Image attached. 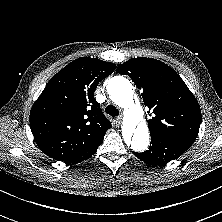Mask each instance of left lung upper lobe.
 Here are the masks:
<instances>
[{
	"mask_svg": "<svg viewBox=\"0 0 222 222\" xmlns=\"http://www.w3.org/2000/svg\"><path fill=\"white\" fill-rule=\"evenodd\" d=\"M142 90L149 108L150 135H168L195 141L201 123L199 104L181 77L165 63L139 57L117 67Z\"/></svg>",
	"mask_w": 222,
	"mask_h": 222,
	"instance_id": "obj_1",
	"label": "left lung upper lobe"
}]
</instances>
